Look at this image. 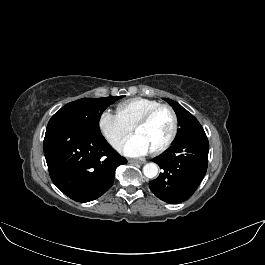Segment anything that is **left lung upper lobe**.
I'll return each instance as SVG.
<instances>
[{"label": "left lung upper lobe", "instance_id": "5c2ea615", "mask_svg": "<svg viewBox=\"0 0 265 265\" xmlns=\"http://www.w3.org/2000/svg\"><path fill=\"white\" fill-rule=\"evenodd\" d=\"M164 100L173 107L180 126L174 142L204 131L198 120L180 104L168 98H164Z\"/></svg>", "mask_w": 265, "mask_h": 265}]
</instances>
